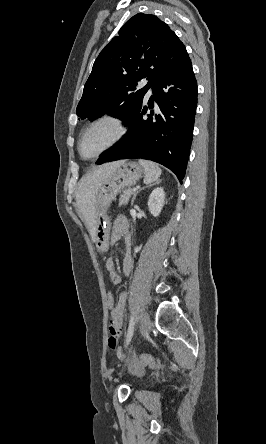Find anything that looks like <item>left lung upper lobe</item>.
Here are the masks:
<instances>
[{"label": "left lung upper lobe", "mask_w": 266, "mask_h": 444, "mask_svg": "<svg viewBox=\"0 0 266 444\" xmlns=\"http://www.w3.org/2000/svg\"><path fill=\"white\" fill-rule=\"evenodd\" d=\"M187 53L169 26L154 15L136 14L96 58L76 112L94 120L103 114L126 123L142 106L147 90ZM148 84L137 89V82Z\"/></svg>", "instance_id": "5c2ea615"}]
</instances>
